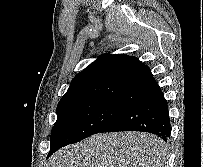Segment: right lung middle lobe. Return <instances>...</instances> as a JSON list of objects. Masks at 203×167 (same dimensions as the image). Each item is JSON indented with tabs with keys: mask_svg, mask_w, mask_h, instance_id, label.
I'll use <instances>...</instances> for the list:
<instances>
[{
	"mask_svg": "<svg viewBox=\"0 0 203 167\" xmlns=\"http://www.w3.org/2000/svg\"><path fill=\"white\" fill-rule=\"evenodd\" d=\"M129 106L112 100L78 99L57 106L51 142L76 143L101 132Z\"/></svg>",
	"mask_w": 203,
	"mask_h": 167,
	"instance_id": "obj_1",
	"label": "right lung middle lobe"
}]
</instances>
